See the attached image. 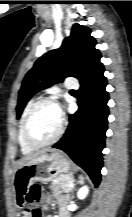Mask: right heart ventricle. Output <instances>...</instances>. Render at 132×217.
<instances>
[{"label":"right heart ventricle","mask_w":132,"mask_h":217,"mask_svg":"<svg viewBox=\"0 0 132 217\" xmlns=\"http://www.w3.org/2000/svg\"><path fill=\"white\" fill-rule=\"evenodd\" d=\"M37 101H38V97L34 96L26 103L25 108H24L23 113H22L21 120H20L19 129H18V143H19L21 152L23 154H30L34 151V149L30 148L29 146H27L25 144V142L23 140V136H22V130H23L24 121H25L29 111L35 105V103Z\"/></svg>","instance_id":"1"}]
</instances>
